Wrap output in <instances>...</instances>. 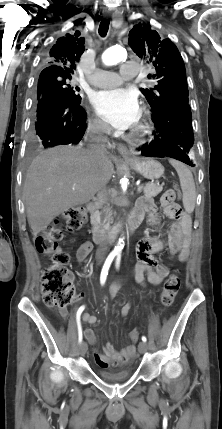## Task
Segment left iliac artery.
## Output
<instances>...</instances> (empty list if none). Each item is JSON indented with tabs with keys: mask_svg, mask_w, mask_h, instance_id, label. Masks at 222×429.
I'll list each match as a JSON object with an SVG mask.
<instances>
[{
	"mask_svg": "<svg viewBox=\"0 0 222 429\" xmlns=\"http://www.w3.org/2000/svg\"><path fill=\"white\" fill-rule=\"evenodd\" d=\"M120 264V256L118 255L117 260H116V267L118 268ZM142 341L146 342L147 338L145 336H142Z\"/></svg>",
	"mask_w": 222,
	"mask_h": 429,
	"instance_id": "left-iliac-artery-1",
	"label": "left iliac artery"
}]
</instances>
